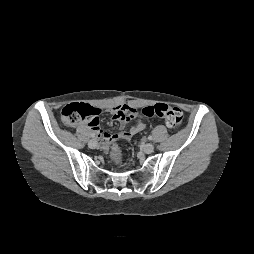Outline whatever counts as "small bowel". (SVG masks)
Wrapping results in <instances>:
<instances>
[{
  "mask_svg": "<svg viewBox=\"0 0 254 254\" xmlns=\"http://www.w3.org/2000/svg\"><path fill=\"white\" fill-rule=\"evenodd\" d=\"M110 112L113 115V118L119 123L118 133L113 134L103 131L100 128L98 117L89 124L95 135L101 140L104 146H110L118 140H130L134 135L146 128V123L139 116L137 109L130 105H127L123 102H118L110 109ZM132 119H136V122L128 131H126V124Z\"/></svg>",
  "mask_w": 254,
  "mask_h": 254,
  "instance_id": "1",
  "label": "small bowel"
}]
</instances>
